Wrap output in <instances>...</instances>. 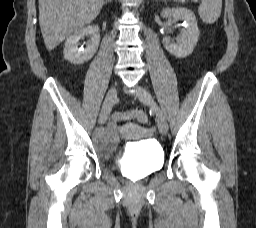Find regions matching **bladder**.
<instances>
[{
  "label": "bladder",
  "instance_id": "31cf9c89",
  "mask_svg": "<svg viewBox=\"0 0 256 228\" xmlns=\"http://www.w3.org/2000/svg\"><path fill=\"white\" fill-rule=\"evenodd\" d=\"M119 142L120 132L114 127L97 133L94 138L96 150L106 158L115 156ZM125 158L123 167L137 179H142L162 168L164 153L157 143L144 141L127 148Z\"/></svg>",
  "mask_w": 256,
  "mask_h": 228
}]
</instances>
